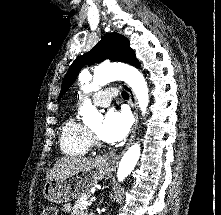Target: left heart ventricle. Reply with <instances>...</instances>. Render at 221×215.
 <instances>
[{"instance_id":"obj_1","label":"left heart ventricle","mask_w":221,"mask_h":215,"mask_svg":"<svg viewBox=\"0 0 221 215\" xmlns=\"http://www.w3.org/2000/svg\"><path fill=\"white\" fill-rule=\"evenodd\" d=\"M100 130V125L96 126L95 128H93V131L98 134Z\"/></svg>"}]
</instances>
